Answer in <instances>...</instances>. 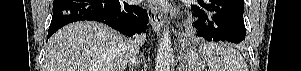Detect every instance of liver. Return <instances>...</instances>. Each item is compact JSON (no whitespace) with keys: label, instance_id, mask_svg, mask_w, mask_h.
Listing matches in <instances>:
<instances>
[{"label":"liver","instance_id":"6515ba94","mask_svg":"<svg viewBox=\"0 0 301 71\" xmlns=\"http://www.w3.org/2000/svg\"><path fill=\"white\" fill-rule=\"evenodd\" d=\"M131 40L97 22H75L47 42L44 71H124Z\"/></svg>","mask_w":301,"mask_h":71}]
</instances>
